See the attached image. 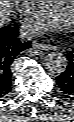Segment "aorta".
Here are the masks:
<instances>
[{
    "label": "aorta",
    "instance_id": "obj_1",
    "mask_svg": "<svg viewBox=\"0 0 74 122\" xmlns=\"http://www.w3.org/2000/svg\"><path fill=\"white\" fill-rule=\"evenodd\" d=\"M44 65L49 72L61 74L67 68L68 60L61 52H50L45 57Z\"/></svg>",
    "mask_w": 74,
    "mask_h": 122
}]
</instances>
